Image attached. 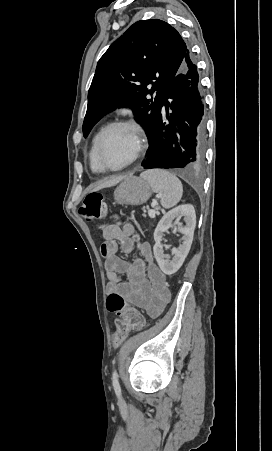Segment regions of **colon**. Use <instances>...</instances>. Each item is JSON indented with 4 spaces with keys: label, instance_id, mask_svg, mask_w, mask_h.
<instances>
[{
    "label": "colon",
    "instance_id": "5ec220e1",
    "mask_svg": "<svg viewBox=\"0 0 272 451\" xmlns=\"http://www.w3.org/2000/svg\"><path fill=\"white\" fill-rule=\"evenodd\" d=\"M78 213L88 224L102 220L105 216L104 195L100 192H91L86 195L81 202ZM105 305L107 313L117 314V333L121 337L127 335L131 330H140L145 324V319L137 309L128 306L118 294H113L111 298H106ZM110 344L112 347H119L121 340L112 338Z\"/></svg>",
    "mask_w": 272,
    "mask_h": 451
}]
</instances>
